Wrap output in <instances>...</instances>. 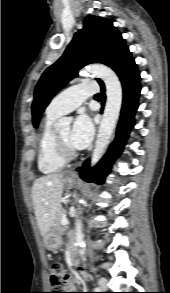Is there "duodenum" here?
Segmentation results:
<instances>
[{"label":"duodenum","instance_id":"obj_1","mask_svg":"<svg viewBox=\"0 0 170 293\" xmlns=\"http://www.w3.org/2000/svg\"><path fill=\"white\" fill-rule=\"evenodd\" d=\"M70 256H71V260L73 262V265L78 268V269H81L80 266H79V262H78V259H77V251H76V248H75V245H74V242L71 243V246H70Z\"/></svg>","mask_w":170,"mask_h":293}]
</instances>
